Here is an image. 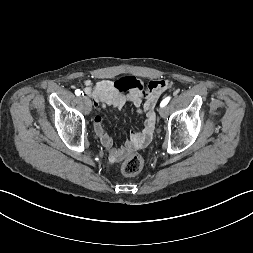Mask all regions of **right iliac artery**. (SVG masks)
<instances>
[{
	"instance_id": "1",
	"label": "right iliac artery",
	"mask_w": 253,
	"mask_h": 253,
	"mask_svg": "<svg viewBox=\"0 0 253 253\" xmlns=\"http://www.w3.org/2000/svg\"><path fill=\"white\" fill-rule=\"evenodd\" d=\"M75 94L79 96L81 94V91L79 89L75 90Z\"/></svg>"
}]
</instances>
